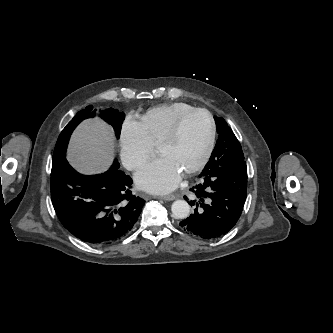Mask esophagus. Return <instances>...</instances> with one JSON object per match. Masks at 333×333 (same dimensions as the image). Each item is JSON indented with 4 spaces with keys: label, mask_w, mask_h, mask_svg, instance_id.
<instances>
[{
    "label": "esophagus",
    "mask_w": 333,
    "mask_h": 333,
    "mask_svg": "<svg viewBox=\"0 0 333 333\" xmlns=\"http://www.w3.org/2000/svg\"><path fill=\"white\" fill-rule=\"evenodd\" d=\"M142 197L143 198H150V196L146 195V194H143ZM160 198L163 199V200H166V201H172L176 198V196L172 194V195L161 196Z\"/></svg>",
    "instance_id": "obj_1"
}]
</instances>
